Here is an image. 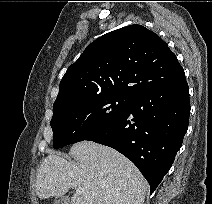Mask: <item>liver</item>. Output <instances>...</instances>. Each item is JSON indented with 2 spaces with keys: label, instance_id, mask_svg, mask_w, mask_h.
<instances>
[{
  "label": "liver",
  "instance_id": "liver-1",
  "mask_svg": "<svg viewBox=\"0 0 212 204\" xmlns=\"http://www.w3.org/2000/svg\"><path fill=\"white\" fill-rule=\"evenodd\" d=\"M78 160L68 162L51 153L40 164L36 195L62 197L69 189H84L71 204H144L147 182L137 167L116 150L92 141L74 144L69 152Z\"/></svg>",
  "mask_w": 212,
  "mask_h": 204
}]
</instances>
